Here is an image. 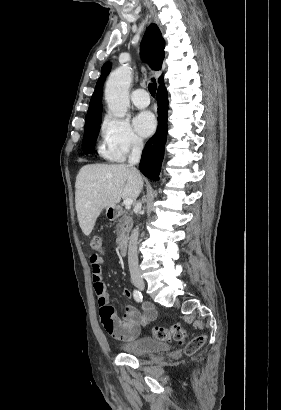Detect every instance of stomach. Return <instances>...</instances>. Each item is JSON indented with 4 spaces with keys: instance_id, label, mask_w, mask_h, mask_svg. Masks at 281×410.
Returning <instances> with one entry per match:
<instances>
[{
    "instance_id": "0dacf381",
    "label": "stomach",
    "mask_w": 281,
    "mask_h": 410,
    "mask_svg": "<svg viewBox=\"0 0 281 410\" xmlns=\"http://www.w3.org/2000/svg\"><path fill=\"white\" fill-rule=\"evenodd\" d=\"M106 212L113 214V213H114V209L111 208V207H108V208L106 209Z\"/></svg>"
}]
</instances>
